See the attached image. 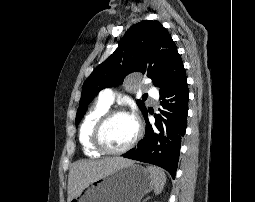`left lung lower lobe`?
Here are the masks:
<instances>
[{
  "instance_id": "1",
  "label": "left lung lower lobe",
  "mask_w": 255,
  "mask_h": 202,
  "mask_svg": "<svg viewBox=\"0 0 255 202\" xmlns=\"http://www.w3.org/2000/svg\"><path fill=\"white\" fill-rule=\"evenodd\" d=\"M189 91L185 71L167 89L160 91V114H155V124L144 113L146 133L135 148L126 152L125 158L160 166L175 178L181 139L186 132Z\"/></svg>"
}]
</instances>
